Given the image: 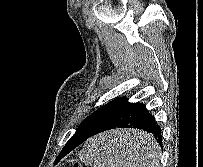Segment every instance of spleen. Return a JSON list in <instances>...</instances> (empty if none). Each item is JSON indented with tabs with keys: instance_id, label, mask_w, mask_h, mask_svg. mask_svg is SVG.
<instances>
[{
	"instance_id": "spleen-1",
	"label": "spleen",
	"mask_w": 203,
	"mask_h": 167,
	"mask_svg": "<svg viewBox=\"0 0 203 167\" xmlns=\"http://www.w3.org/2000/svg\"><path fill=\"white\" fill-rule=\"evenodd\" d=\"M136 141L139 145H146L145 151L142 150V153L138 154L140 162L144 164L139 167H160L158 160L160 150L156 140L149 134L140 133ZM112 143H115V137L99 135L91 138L82 150L81 160L91 167H135V163L128 165V162L120 160Z\"/></svg>"
}]
</instances>
